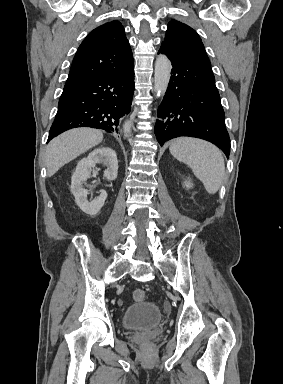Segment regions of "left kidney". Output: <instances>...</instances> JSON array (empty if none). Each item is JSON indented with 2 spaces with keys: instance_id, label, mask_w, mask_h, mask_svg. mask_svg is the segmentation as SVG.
<instances>
[{
  "instance_id": "1",
  "label": "left kidney",
  "mask_w": 283,
  "mask_h": 384,
  "mask_svg": "<svg viewBox=\"0 0 283 384\" xmlns=\"http://www.w3.org/2000/svg\"><path fill=\"white\" fill-rule=\"evenodd\" d=\"M185 186H186V188H192V184H191L190 180H189V182H185Z\"/></svg>"
}]
</instances>
